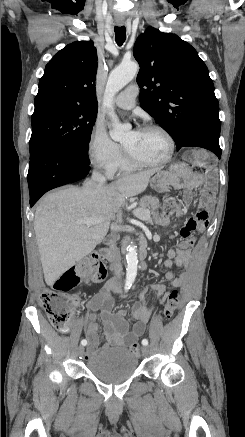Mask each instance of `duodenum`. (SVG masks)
I'll list each match as a JSON object with an SVG mask.
<instances>
[{
    "mask_svg": "<svg viewBox=\"0 0 245 437\" xmlns=\"http://www.w3.org/2000/svg\"><path fill=\"white\" fill-rule=\"evenodd\" d=\"M114 237L115 236L113 234L108 236V238H107L108 246L105 247L104 249H102L100 252L101 257L105 260L112 261V260H115L117 257H119L118 254L114 251V249L111 246H109L111 244V242L113 241ZM138 256H139V260H140L139 267L141 269L147 268L148 262H147V246L146 245H142L139 248Z\"/></svg>",
    "mask_w": 245,
    "mask_h": 437,
    "instance_id": "1",
    "label": "duodenum"
}]
</instances>
